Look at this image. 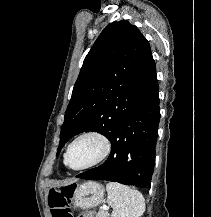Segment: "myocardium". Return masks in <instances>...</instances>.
Here are the masks:
<instances>
[{"label": "myocardium", "instance_id": "obj_1", "mask_svg": "<svg viewBox=\"0 0 211 217\" xmlns=\"http://www.w3.org/2000/svg\"><path fill=\"white\" fill-rule=\"evenodd\" d=\"M85 137H95V138L99 139L103 144V151H102L101 155L93 162H91L87 165H84L82 167L74 168L71 166V164L69 162L70 150H71L72 146L78 140L85 138ZM111 151H112V142H111L110 138L105 133H103L102 131H99V130L85 131V132L79 134L78 136H76L68 145L66 152H65V164L67 165V167H69L71 170H74V171L87 170V169L93 168V167L101 164L102 162H104L109 157Z\"/></svg>", "mask_w": 211, "mask_h": 217}]
</instances>
